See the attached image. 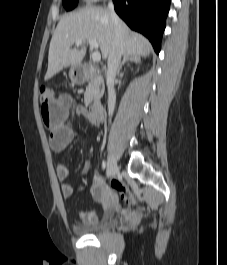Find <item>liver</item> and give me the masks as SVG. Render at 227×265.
<instances>
[{
  "mask_svg": "<svg viewBox=\"0 0 227 265\" xmlns=\"http://www.w3.org/2000/svg\"><path fill=\"white\" fill-rule=\"evenodd\" d=\"M123 35L122 54L146 56L151 50L148 40L132 32L120 20ZM114 23L110 11L98 7H85L61 17L50 41L48 69L45 80H49L63 68L79 66L86 55V47L71 49L76 39L95 40L102 57L107 59L113 47Z\"/></svg>",
  "mask_w": 227,
  "mask_h": 265,
  "instance_id": "6515ba94",
  "label": "liver"
}]
</instances>
